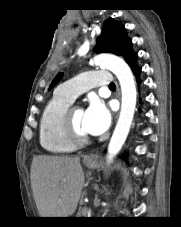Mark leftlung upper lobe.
Here are the masks:
<instances>
[{
	"mask_svg": "<svg viewBox=\"0 0 181 227\" xmlns=\"http://www.w3.org/2000/svg\"><path fill=\"white\" fill-rule=\"evenodd\" d=\"M130 45L131 41L127 39L125 27L119 21L112 18L107 19L103 24L101 36L98 38L96 50L125 57L129 52ZM62 75L59 73L54 78L49 89L58 83Z\"/></svg>",
	"mask_w": 181,
	"mask_h": 227,
	"instance_id": "left-lung-upper-lobe-1",
	"label": "left lung upper lobe"
}]
</instances>
